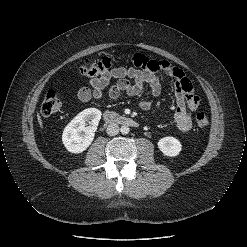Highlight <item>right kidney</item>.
I'll return each instance as SVG.
<instances>
[{
    "label": "right kidney",
    "mask_w": 247,
    "mask_h": 247,
    "mask_svg": "<svg viewBox=\"0 0 247 247\" xmlns=\"http://www.w3.org/2000/svg\"><path fill=\"white\" fill-rule=\"evenodd\" d=\"M101 115L96 108L85 109L64 128L62 142L69 152L82 153L91 145Z\"/></svg>",
    "instance_id": "obj_1"
}]
</instances>
